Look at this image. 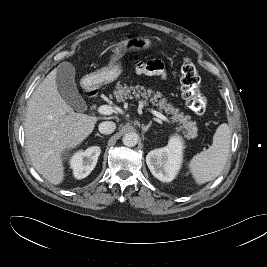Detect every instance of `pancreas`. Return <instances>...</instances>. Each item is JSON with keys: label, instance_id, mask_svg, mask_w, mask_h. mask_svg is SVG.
<instances>
[{"label": "pancreas", "instance_id": "pancreas-1", "mask_svg": "<svg viewBox=\"0 0 267 267\" xmlns=\"http://www.w3.org/2000/svg\"><path fill=\"white\" fill-rule=\"evenodd\" d=\"M113 93L119 102H123L128 98H143L140 101L142 105H148V102H150L154 106H157L159 110H164L166 113L171 114L174 121L183 124L188 138H195L197 136L198 128L196 127V122H192L190 116L184 115L179 109L168 103L166 98H162V93H154L151 89L146 90L144 86L136 85L128 87L126 84L121 85L120 83H117L116 90Z\"/></svg>", "mask_w": 267, "mask_h": 267}]
</instances>
